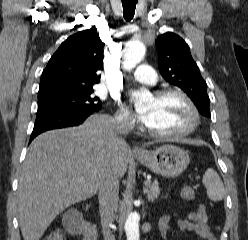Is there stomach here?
<instances>
[{"label":"stomach","mask_w":248,"mask_h":240,"mask_svg":"<svg viewBox=\"0 0 248 240\" xmlns=\"http://www.w3.org/2000/svg\"><path fill=\"white\" fill-rule=\"evenodd\" d=\"M135 158L156 174L164 177H176L188 166L190 158L188 152L172 144L162 145L155 150L146 151Z\"/></svg>","instance_id":"0dacf381"}]
</instances>
